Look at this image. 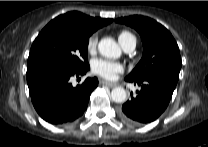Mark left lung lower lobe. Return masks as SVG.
Segmentation results:
<instances>
[{
	"mask_svg": "<svg viewBox=\"0 0 208 147\" xmlns=\"http://www.w3.org/2000/svg\"><path fill=\"white\" fill-rule=\"evenodd\" d=\"M126 81L139 85L137 96L122 105L119 116L132 124H145L156 120L167 108L177 82L162 75Z\"/></svg>",
	"mask_w": 208,
	"mask_h": 147,
	"instance_id": "0a47b994",
	"label": "left lung lower lobe"
}]
</instances>
